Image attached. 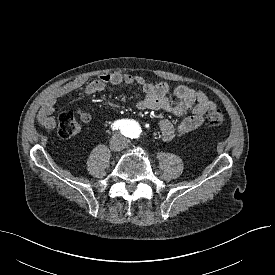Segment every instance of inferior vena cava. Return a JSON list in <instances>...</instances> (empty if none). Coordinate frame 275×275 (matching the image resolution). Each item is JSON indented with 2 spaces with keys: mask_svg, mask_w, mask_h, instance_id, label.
Returning a JSON list of instances; mask_svg holds the SVG:
<instances>
[{
  "mask_svg": "<svg viewBox=\"0 0 275 275\" xmlns=\"http://www.w3.org/2000/svg\"><path fill=\"white\" fill-rule=\"evenodd\" d=\"M125 146H126V143L123 141V144L120 147L116 148V149L120 150L121 148H124Z\"/></svg>",
  "mask_w": 275,
  "mask_h": 275,
  "instance_id": "602c4592",
  "label": "inferior vena cava"
}]
</instances>
